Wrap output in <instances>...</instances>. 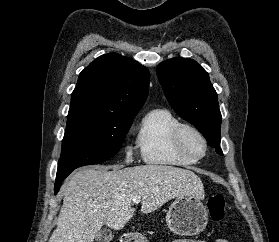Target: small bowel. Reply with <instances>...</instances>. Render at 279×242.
<instances>
[{
  "label": "small bowel",
  "mask_w": 279,
  "mask_h": 242,
  "mask_svg": "<svg viewBox=\"0 0 279 242\" xmlns=\"http://www.w3.org/2000/svg\"><path fill=\"white\" fill-rule=\"evenodd\" d=\"M173 242H205V241L181 239V240H175ZM213 242H229V241H227L226 239L218 238L215 239Z\"/></svg>",
  "instance_id": "c3829d8e"
}]
</instances>
